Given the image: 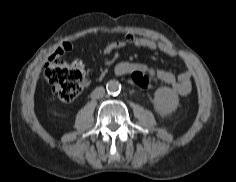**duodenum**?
Segmentation results:
<instances>
[{"label":"duodenum","mask_w":236,"mask_h":182,"mask_svg":"<svg viewBox=\"0 0 236 182\" xmlns=\"http://www.w3.org/2000/svg\"><path fill=\"white\" fill-rule=\"evenodd\" d=\"M130 68L127 65H120L116 70L115 74L118 76L126 75L128 74Z\"/></svg>","instance_id":"1"}]
</instances>
